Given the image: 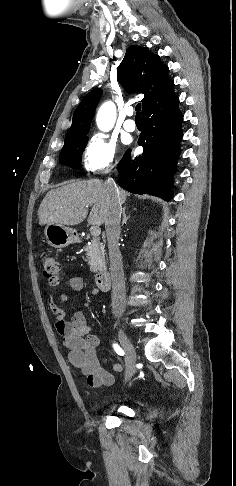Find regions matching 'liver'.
<instances>
[{
    "instance_id": "liver-1",
    "label": "liver",
    "mask_w": 236,
    "mask_h": 486,
    "mask_svg": "<svg viewBox=\"0 0 236 486\" xmlns=\"http://www.w3.org/2000/svg\"><path fill=\"white\" fill-rule=\"evenodd\" d=\"M119 194L124 203L128 193L119 189ZM90 206L88 223L102 225L109 210V196L101 180L90 179L61 186L50 190L41 202L39 224L78 225L87 217Z\"/></svg>"
}]
</instances>
